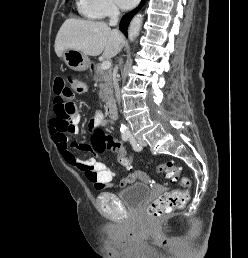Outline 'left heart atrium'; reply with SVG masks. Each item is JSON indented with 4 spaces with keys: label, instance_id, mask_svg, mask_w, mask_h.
I'll return each mask as SVG.
<instances>
[{
    "label": "left heart atrium",
    "instance_id": "left-heart-atrium-1",
    "mask_svg": "<svg viewBox=\"0 0 248 258\" xmlns=\"http://www.w3.org/2000/svg\"><path fill=\"white\" fill-rule=\"evenodd\" d=\"M116 2L121 8L128 9L133 7L138 0H116Z\"/></svg>",
    "mask_w": 248,
    "mask_h": 258
}]
</instances>
